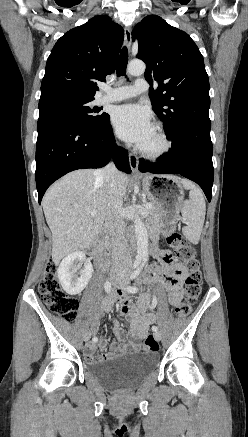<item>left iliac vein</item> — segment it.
I'll return each instance as SVG.
<instances>
[{"label": "left iliac vein", "mask_w": 248, "mask_h": 437, "mask_svg": "<svg viewBox=\"0 0 248 437\" xmlns=\"http://www.w3.org/2000/svg\"><path fill=\"white\" fill-rule=\"evenodd\" d=\"M118 284L122 289H125L129 282L125 277H121L118 281ZM153 335L156 340H161V333L158 330L155 331Z\"/></svg>", "instance_id": "1"}]
</instances>
